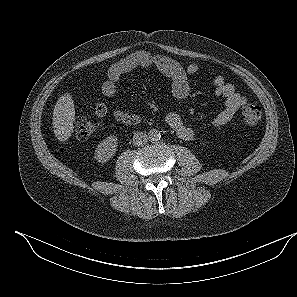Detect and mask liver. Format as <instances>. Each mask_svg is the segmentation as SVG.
<instances>
[{
	"label": "liver",
	"instance_id": "6515ba94",
	"mask_svg": "<svg viewBox=\"0 0 297 297\" xmlns=\"http://www.w3.org/2000/svg\"><path fill=\"white\" fill-rule=\"evenodd\" d=\"M74 120V101L70 93H65L58 99L52 118L54 134L60 142H65L71 137Z\"/></svg>",
	"mask_w": 297,
	"mask_h": 297
}]
</instances>
